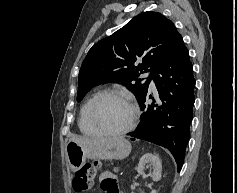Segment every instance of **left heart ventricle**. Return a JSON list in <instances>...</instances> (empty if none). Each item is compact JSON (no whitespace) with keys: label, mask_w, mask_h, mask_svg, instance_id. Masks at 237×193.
<instances>
[{"label":"left heart ventricle","mask_w":237,"mask_h":193,"mask_svg":"<svg viewBox=\"0 0 237 193\" xmlns=\"http://www.w3.org/2000/svg\"><path fill=\"white\" fill-rule=\"evenodd\" d=\"M131 117V107L125 101L114 97L102 100L95 111V120L98 126L108 131L125 128Z\"/></svg>","instance_id":"obj_1"}]
</instances>
